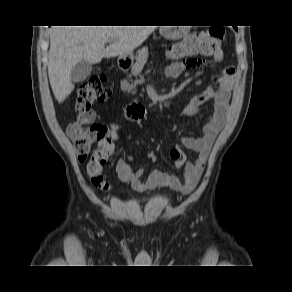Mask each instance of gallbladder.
Here are the masks:
<instances>
[{
    "mask_svg": "<svg viewBox=\"0 0 292 292\" xmlns=\"http://www.w3.org/2000/svg\"><path fill=\"white\" fill-rule=\"evenodd\" d=\"M92 71V64L81 61L71 71V80L73 82L84 81Z\"/></svg>",
    "mask_w": 292,
    "mask_h": 292,
    "instance_id": "bac80fb5",
    "label": "gallbladder"
}]
</instances>
